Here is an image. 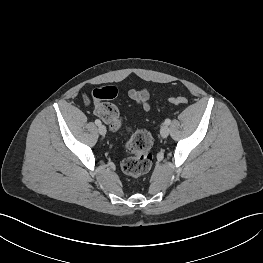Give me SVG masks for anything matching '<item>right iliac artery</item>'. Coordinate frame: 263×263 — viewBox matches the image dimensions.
<instances>
[{
    "label": "right iliac artery",
    "mask_w": 263,
    "mask_h": 263,
    "mask_svg": "<svg viewBox=\"0 0 263 263\" xmlns=\"http://www.w3.org/2000/svg\"><path fill=\"white\" fill-rule=\"evenodd\" d=\"M95 124L99 126V125H101V121L99 119H96Z\"/></svg>",
    "instance_id": "obj_1"
}]
</instances>
